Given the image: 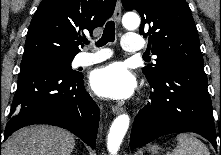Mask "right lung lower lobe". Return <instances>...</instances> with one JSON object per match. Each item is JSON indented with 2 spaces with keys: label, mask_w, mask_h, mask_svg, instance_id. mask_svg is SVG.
<instances>
[{
  "label": "right lung lower lobe",
  "mask_w": 221,
  "mask_h": 155,
  "mask_svg": "<svg viewBox=\"0 0 221 155\" xmlns=\"http://www.w3.org/2000/svg\"><path fill=\"white\" fill-rule=\"evenodd\" d=\"M82 78L49 60L22 61L4 139L24 126L41 123L65 128L95 148L100 110Z\"/></svg>",
  "instance_id": "obj_1"
}]
</instances>
